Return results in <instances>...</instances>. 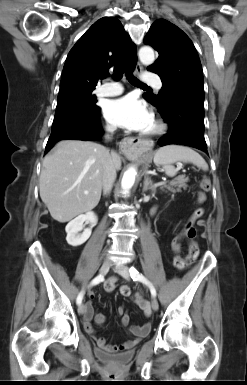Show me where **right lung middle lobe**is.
Returning <instances> with one entry per match:
<instances>
[{
	"label": "right lung middle lobe",
	"instance_id": "obj_1",
	"mask_svg": "<svg viewBox=\"0 0 247 385\" xmlns=\"http://www.w3.org/2000/svg\"><path fill=\"white\" fill-rule=\"evenodd\" d=\"M92 91L91 89H70L59 92L53 122L75 114L89 115L100 111Z\"/></svg>",
	"mask_w": 247,
	"mask_h": 385
}]
</instances>
